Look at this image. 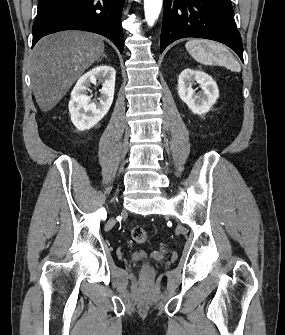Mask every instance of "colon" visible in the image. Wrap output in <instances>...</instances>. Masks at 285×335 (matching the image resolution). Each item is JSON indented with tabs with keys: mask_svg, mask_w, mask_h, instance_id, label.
Segmentation results:
<instances>
[{
	"mask_svg": "<svg viewBox=\"0 0 285 335\" xmlns=\"http://www.w3.org/2000/svg\"><path fill=\"white\" fill-rule=\"evenodd\" d=\"M131 236H132V239L138 244H144L148 240V234H147L146 230L144 228L140 227V226H135V227L132 228ZM144 272H145V274H150L151 267L146 266L144 268Z\"/></svg>",
	"mask_w": 285,
	"mask_h": 335,
	"instance_id": "obj_1",
	"label": "colon"
}]
</instances>
